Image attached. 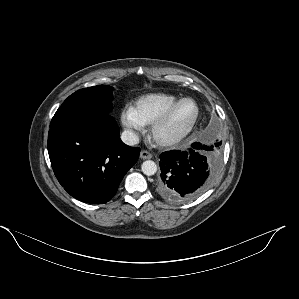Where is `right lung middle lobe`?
I'll return each mask as SVG.
<instances>
[{
	"label": "right lung middle lobe",
	"instance_id": "dd1d6c3e",
	"mask_svg": "<svg viewBox=\"0 0 299 299\" xmlns=\"http://www.w3.org/2000/svg\"><path fill=\"white\" fill-rule=\"evenodd\" d=\"M112 87L97 85L84 88L70 95L56 111L50 127L78 115L107 114L112 108Z\"/></svg>",
	"mask_w": 299,
	"mask_h": 299
}]
</instances>
